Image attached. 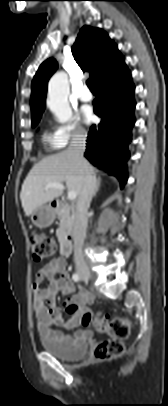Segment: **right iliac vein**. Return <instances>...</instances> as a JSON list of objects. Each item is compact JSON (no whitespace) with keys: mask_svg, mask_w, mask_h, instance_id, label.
<instances>
[{"mask_svg":"<svg viewBox=\"0 0 168 406\" xmlns=\"http://www.w3.org/2000/svg\"><path fill=\"white\" fill-rule=\"evenodd\" d=\"M78 274L85 281H88L91 279V273L88 268H85V267L79 268Z\"/></svg>","mask_w":168,"mask_h":406,"instance_id":"right-iliac-vein-1","label":"right iliac vein"}]
</instances>
